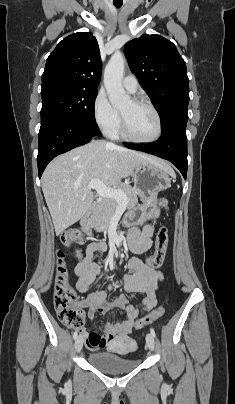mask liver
Wrapping results in <instances>:
<instances>
[{"label":"liver","instance_id":"liver-1","mask_svg":"<svg viewBox=\"0 0 235 404\" xmlns=\"http://www.w3.org/2000/svg\"><path fill=\"white\" fill-rule=\"evenodd\" d=\"M147 162L173 174L170 165L162 159L105 141H92L50 162L42 176V191L56 235L90 210L94 195L88 185L92 179L113 186Z\"/></svg>","mask_w":235,"mask_h":404}]
</instances>
